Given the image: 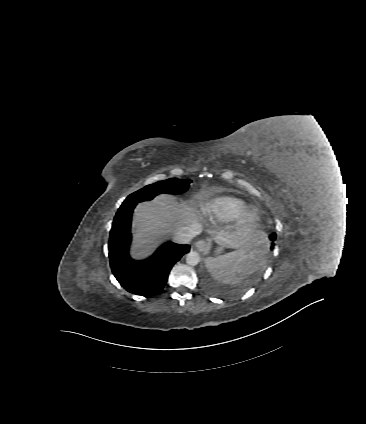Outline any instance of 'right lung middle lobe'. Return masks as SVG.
<instances>
[{
  "instance_id": "obj_1",
  "label": "right lung middle lobe",
  "mask_w": 366,
  "mask_h": 424,
  "mask_svg": "<svg viewBox=\"0 0 366 424\" xmlns=\"http://www.w3.org/2000/svg\"><path fill=\"white\" fill-rule=\"evenodd\" d=\"M191 180L170 178L164 181H159L154 184L145 186L144 188L130 194L122 203L121 206L137 204L138 202L153 199L160 193L179 194L185 192Z\"/></svg>"
}]
</instances>
